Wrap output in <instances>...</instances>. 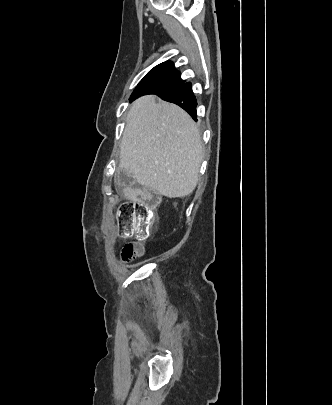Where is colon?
<instances>
[{"label":"colon","instance_id":"colon-1","mask_svg":"<svg viewBox=\"0 0 332 405\" xmlns=\"http://www.w3.org/2000/svg\"><path fill=\"white\" fill-rule=\"evenodd\" d=\"M158 195L149 189L140 190L133 200L120 203L116 210L119 229L123 235L143 237L148 235L156 222L154 208L158 204ZM144 254L140 242H128L121 249V259L132 261Z\"/></svg>","mask_w":332,"mask_h":405}]
</instances>
